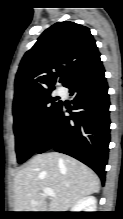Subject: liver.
I'll return each instance as SVG.
<instances>
[{
  "label": "liver",
  "mask_w": 123,
  "mask_h": 219,
  "mask_svg": "<svg viewBox=\"0 0 123 219\" xmlns=\"http://www.w3.org/2000/svg\"><path fill=\"white\" fill-rule=\"evenodd\" d=\"M44 188L55 193L49 210L67 212L80 199L98 193L100 179L88 166L68 155H36L15 175V212H46Z\"/></svg>",
  "instance_id": "1"
}]
</instances>
